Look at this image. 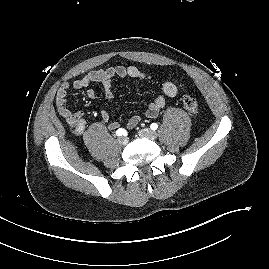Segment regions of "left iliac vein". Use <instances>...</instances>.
Instances as JSON below:
<instances>
[{
	"label": "left iliac vein",
	"instance_id": "left-iliac-vein-1",
	"mask_svg": "<svg viewBox=\"0 0 269 269\" xmlns=\"http://www.w3.org/2000/svg\"><path fill=\"white\" fill-rule=\"evenodd\" d=\"M139 136L149 139H155L157 137V133L149 128H144L139 131Z\"/></svg>",
	"mask_w": 269,
	"mask_h": 269
}]
</instances>
